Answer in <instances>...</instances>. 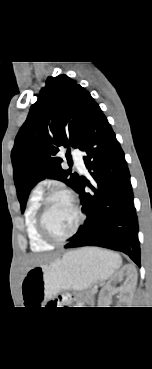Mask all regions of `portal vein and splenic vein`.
I'll use <instances>...</instances> for the list:
<instances>
[{"instance_id": "portal-vein-and-splenic-vein-1", "label": "portal vein and splenic vein", "mask_w": 152, "mask_h": 369, "mask_svg": "<svg viewBox=\"0 0 152 369\" xmlns=\"http://www.w3.org/2000/svg\"><path fill=\"white\" fill-rule=\"evenodd\" d=\"M94 289H95V290H97V289H98V287H97V286H95V287H94Z\"/></svg>"}]
</instances>
